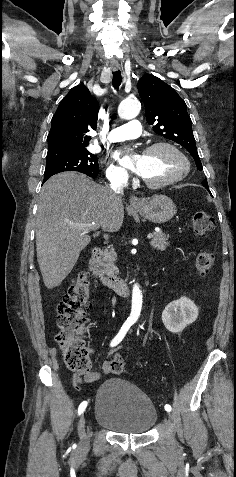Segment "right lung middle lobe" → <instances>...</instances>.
Returning <instances> with one entry per match:
<instances>
[{
  "label": "right lung middle lobe",
  "instance_id": "obj_1",
  "mask_svg": "<svg viewBox=\"0 0 236 477\" xmlns=\"http://www.w3.org/2000/svg\"><path fill=\"white\" fill-rule=\"evenodd\" d=\"M64 171H77L95 178L99 171L97 156L83 148L73 154L48 160L44 178Z\"/></svg>",
  "mask_w": 236,
  "mask_h": 477
}]
</instances>
